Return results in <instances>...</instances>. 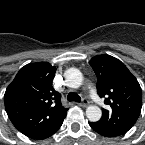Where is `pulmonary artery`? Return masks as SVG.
Wrapping results in <instances>:
<instances>
[{"label":"pulmonary artery","mask_w":145,"mask_h":145,"mask_svg":"<svg viewBox=\"0 0 145 145\" xmlns=\"http://www.w3.org/2000/svg\"><path fill=\"white\" fill-rule=\"evenodd\" d=\"M89 89L90 95L93 98L94 102L98 105H101L102 100L97 96L95 88L91 86Z\"/></svg>","instance_id":"obj_1"}]
</instances>
